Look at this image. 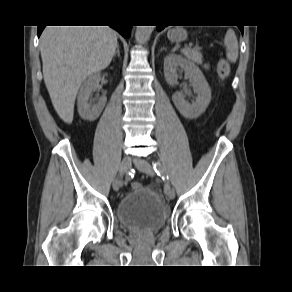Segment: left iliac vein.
<instances>
[{
    "instance_id": "obj_1",
    "label": "left iliac vein",
    "mask_w": 292,
    "mask_h": 292,
    "mask_svg": "<svg viewBox=\"0 0 292 292\" xmlns=\"http://www.w3.org/2000/svg\"><path fill=\"white\" fill-rule=\"evenodd\" d=\"M135 166L140 170L141 172L153 176L154 175V169L152 165L145 159L143 158H136L134 160ZM166 195L168 196L169 199H174L175 198V191L173 188L170 187V189L166 192Z\"/></svg>"
}]
</instances>
